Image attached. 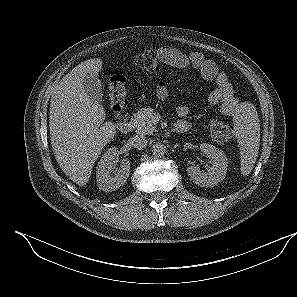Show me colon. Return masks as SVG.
<instances>
[{
	"label": "colon",
	"instance_id": "colon-1",
	"mask_svg": "<svg viewBox=\"0 0 297 297\" xmlns=\"http://www.w3.org/2000/svg\"><path fill=\"white\" fill-rule=\"evenodd\" d=\"M133 64L149 72H157L160 69L158 53L153 49L136 54L133 57ZM108 95L113 113L117 117L120 116L127 105V89L125 77L119 71H114L110 76ZM209 129L213 139L220 143L228 142L234 134L233 127L221 120H213Z\"/></svg>",
	"mask_w": 297,
	"mask_h": 297
}]
</instances>
